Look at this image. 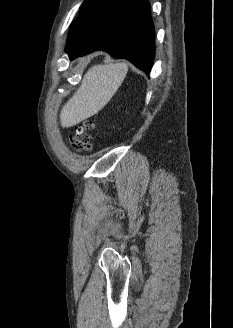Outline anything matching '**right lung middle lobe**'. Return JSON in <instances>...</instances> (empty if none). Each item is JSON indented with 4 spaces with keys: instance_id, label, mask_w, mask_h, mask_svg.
<instances>
[{
    "instance_id": "right-lung-middle-lobe-1",
    "label": "right lung middle lobe",
    "mask_w": 233,
    "mask_h": 328,
    "mask_svg": "<svg viewBox=\"0 0 233 328\" xmlns=\"http://www.w3.org/2000/svg\"><path fill=\"white\" fill-rule=\"evenodd\" d=\"M93 0H85L84 3L82 4V6H86L88 5L90 2H92Z\"/></svg>"
}]
</instances>
